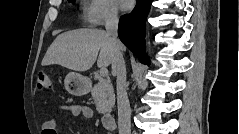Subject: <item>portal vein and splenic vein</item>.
<instances>
[{
	"instance_id": "obj_1",
	"label": "portal vein and splenic vein",
	"mask_w": 239,
	"mask_h": 134,
	"mask_svg": "<svg viewBox=\"0 0 239 134\" xmlns=\"http://www.w3.org/2000/svg\"><path fill=\"white\" fill-rule=\"evenodd\" d=\"M100 75L102 76V77H107V75H108V70H107V68H105V67H102V68H100Z\"/></svg>"
}]
</instances>
